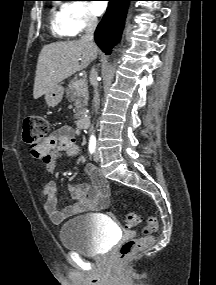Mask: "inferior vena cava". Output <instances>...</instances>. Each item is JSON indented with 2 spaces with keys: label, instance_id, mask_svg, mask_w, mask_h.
I'll return each mask as SVG.
<instances>
[{
  "label": "inferior vena cava",
  "instance_id": "obj_1",
  "mask_svg": "<svg viewBox=\"0 0 216 285\" xmlns=\"http://www.w3.org/2000/svg\"><path fill=\"white\" fill-rule=\"evenodd\" d=\"M97 26V18L93 15H89L88 19H87V24H86V28H85V34L81 37V41L88 43L91 47L94 46V32ZM96 56H93L92 59H94ZM97 71L92 68L91 72H90V80H91V84L93 85L94 89H95V94H94V106H95V111L97 112L98 107H99V103H100V99H99V93L97 91V86H98V82H97Z\"/></svg>",
  "mask_w": 216,
  "mask_h": 285
}]
</instances>
